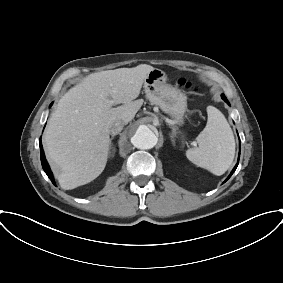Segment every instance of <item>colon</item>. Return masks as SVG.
<instances>
[{
    "mask_svg": "<svg viewBox=\"0 0 283 283\" xmlns=\"http://www.w3.org/2000/svg\"><path fill=\"white\" fill-rule=\"evenodd\" d=\"M179 83H180V85H181L182 87H184V88H187V89L192 88L191 82L188 81L187 79H181V80L179 81Z\"/></svg>",
    "mask_w": 283,
    "mask_h": 283,
    "instance_id": "1",
    "label": "colon"
}]
</instances>
